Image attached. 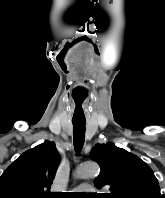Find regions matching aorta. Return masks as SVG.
I'll list each match as a JSON object with an SVG mask.
<instances>
[{"instance_id": "762f6f07", "label": "aorta", "mask_w": 165, "mask_h": 198, "mask_svg": "<svg viewBox=\"0 0 165 198\" xmlns=\"http://www.w3.org/2000/svg\"><path fill=\"white\" fill-rule=\"evenodd\" d=\"M99 166L95 163H84L78 166L75 170V177L86 179L99 174Z\"/></svg>"}]
</instances>
